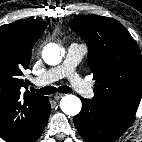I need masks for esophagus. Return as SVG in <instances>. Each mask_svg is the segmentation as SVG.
Returning a JSON list of instances; mask_svg holds the SVG:
<instances>
[{
	"instance_id": "34e87169",
	"label": "esophagus",
	"mask_w": 142,
	"mask_h": 142,
	"mask_svg": "<svg viewBox=\"0 0 142 142\" xmlns=\"http://www.w3.org/2000/svg\"><path fill=\"white\" fill-rule=\"evenodd\" d=\"M64 95H65V94H62V93H56V94L54 95V99H55V100H59V99H61Z\"/></svg>"
}]
</instances>
